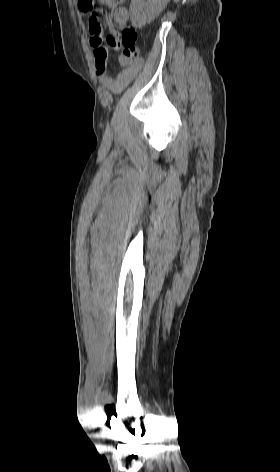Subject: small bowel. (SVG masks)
Returning a JSON list of instances; mask_svg holds the SVG:
<instances>
[{"label": "small bowel", "mask_w": 280, "mask_h": 472, "mask_svg": "<svg viewBox=\"0 0 280 472\" xmlns=\"http://www.w3.org/2000/svg\"><path fill=\"white\" fill-rule=\"evenodd\" d=\"M86 0H79L78 5L83 13L90 12L89 9L83 6ZM110 8L108 14L104 13L101 8H98L97 13L103 15L104 23L109 31L107 36H104L101 23L98 22L89 24V42L94 52L95 66L97 74L100 76V83L102 87L113 94L121 93L130 82L138 75L143 67V60L140 57L129 58L124 54H119L118 63L119 71L114 77L105 74L108 51L113 49L119 51L120 32L119 29L126 27L129 20V11L123 6H119L123 0H100Z\"/></svg>", "instance_id": "c3829d8e"}]
</instances>
